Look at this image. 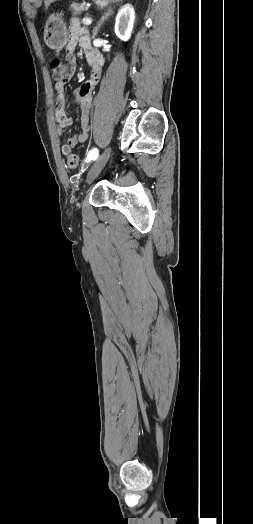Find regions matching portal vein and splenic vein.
Instances as JSON below:
<instances>
[{"mask_svg": "<svg viewBox=\"0 0 253 524\" xmlns=\"http://www.w3.org/2000/svg\"><path fill=\"white\" fill-rule=\"evenodd\" d=\"M82 23L84 25H90L92 23V19L88 18V17H85V18L82 19Z\"/></svg>", "mask_w": 253, "mask_h": 524, "instance_id": "obj_1", "label": "portal vein and splenic vein"}]
</instances>
